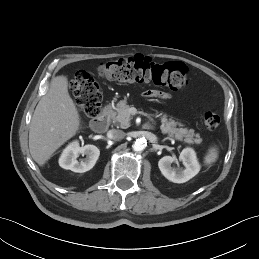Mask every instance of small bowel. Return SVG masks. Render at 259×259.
Segmentation results:
<instances>
[{"label": "small bowel", "mask_w": 259, "mask_h": 259, "mask_svg": "<svg viewBox=\"0 0 259 259\" xmlns=\"http://www.w3.org/2000/svg\"><path fill=\"white\" fill-rule=\"evenodd\" d=\"M145 95L147 97H151V98H161V99H165L169 97V94L166 92H160V91H147L145 93Z\"/></svg>", "instance_id": "c3829d8e"}]
</instances>
